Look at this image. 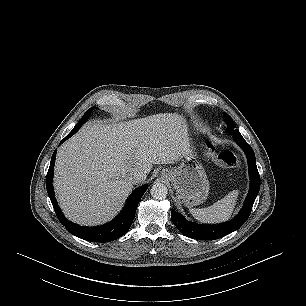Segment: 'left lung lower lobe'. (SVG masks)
<instances>
[{"label": "left lung lower lobe", "instance_id": "0a47b994", "mask_svg": "<svg viewBox=\"0 0 306 306\" xmlns=\"http://www.w3.org/2000/svg\"><path fill=\"white\" fill-rule=\"evenodd\" d=\"M234 139L236 143L243 149L247 156L248 170L250 176V188L243 207L234 219L219 225H199L193 222H189L175 209H172V222L177 227V229L185 236L197 240H215L237 230L248 219L254 201L260 189V176L256 166L255 154L251 146L244 140L243 137H234Z\"/></svg>", "mask_w": 306, "mask_h": 306}]
</instances>
